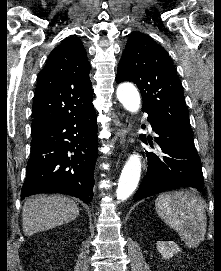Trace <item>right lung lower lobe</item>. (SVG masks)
Returning <instances> with one entry per match:
<instances>
[{
	"label": "right lung lower lobe",
	"instance_id": "98d812e1",
	"mask_svg": "<svg viewBox=\"0 0 221 271\" xmlns=\"http://www.w3.org/2000/svg\"><path fill=\"white\" fill-rule=\"evenodd\" d=\"M32 137L21 200L37 193H62L90 202L98 155L94 108L32 132Z\"/></svg>",
	"mask_w": 221,
	"mask_h": 271
}]
</instances>
